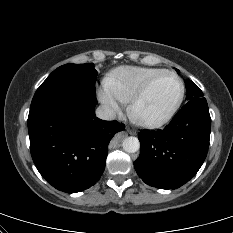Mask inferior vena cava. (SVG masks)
Returning a JSON list of instances; mask_svg holds the SVG:
<instances>
[{
	"instance_id": "inferior-vena-cava-1",
	"label": "inferior vena cava",
	"mask_w": 233,
	"mask_h": 233,
	"mask_svg": "<svg viewBox=\"0 0 233 233\" xmlns=\"http://www.w3.org/2000/svg\"><path fill=\"white\" fill-rule=\"evenodd\" d=\"M96 116L102 120H114L116 112L107 105H101L96 109Z\"/></svg>"
}]
</instances>
